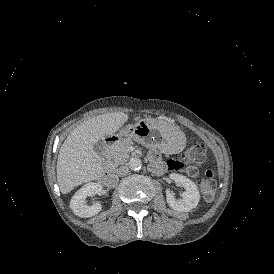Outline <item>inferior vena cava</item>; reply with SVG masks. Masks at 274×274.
<instances>
[{
	"label": "inferior vena cava",
	"instance_id": "602c4592",
	"mask_svg": "<svg viewBox=\"0 0 274 274\" xmlns=\"http://www.w3.org/2000/svg\"><path fill=\"white\" fill-rule=\"evenodd\" d=\"M128 172H129L128 166H120V167L116 170V174H117L118 176H125Z\"/></svg>",
	"mask_w": 274,
	"mask_h": 274
}]
</instances>
